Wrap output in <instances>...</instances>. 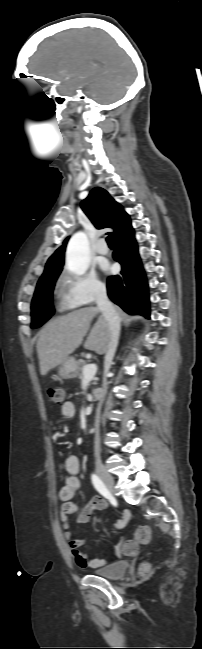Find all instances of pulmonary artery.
Masks as SVG:
<instances>
[{
	"instance_id": "e3ab8cb5",
	"label": "pulmonary artery",
	"mask_w": 202,
	"mask_h": 649,
	"mask_svg": "<svg viewBox=\"0 0 202 649\" xmlns=\"http://www.w3.org/2000/svg\"><path fill=\"white\" fill-rule=\"evenodd\" d=\"M108 251L109 250L107 245L105 244V241L101 239L96 246V252L101 255H106Z\"/></svg>"
}]
</instances>
